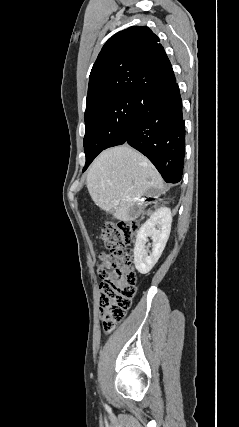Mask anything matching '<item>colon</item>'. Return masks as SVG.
<instances>
[{
  "label": "colon",
  "mask_w": 239,
  "mask_h": 427,
  "mask_svg": "<svg viewBox=\"0 0 239 427\" xmlns=\"http://www.w3.org/2000/svg\"><path fill=\"white\" fill-rule=\"evenodd\" d=\"M136 222L106 223L100 237L107 250L101 254L97 272L100 283L102 327L111 332L126 316L136 294L137 277L130 248L137 231Z\"/></svg>",
  "instance_id": "colon-1"
}]
</instances>
